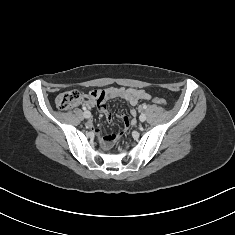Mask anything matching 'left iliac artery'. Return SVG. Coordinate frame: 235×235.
I'll list each match as a JSON object with an SVG mask.
<instances>
[{
    "instance_id": "obj_1",
    "label": "left iliac artery",
    "mask_w": 235,
    "mask_h": 235,
    "mask_svg": "<svg viewBox=\"0 0 235 235\" xmlns=\"http://www.w3.org/2000/svg\"><path fill=\"white\" fill-rule=\"evenodd\" d=\"M147 108V105H143V109H146Z\"/></svg>"
}]
</instances>
